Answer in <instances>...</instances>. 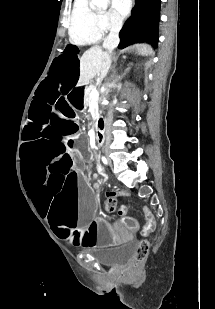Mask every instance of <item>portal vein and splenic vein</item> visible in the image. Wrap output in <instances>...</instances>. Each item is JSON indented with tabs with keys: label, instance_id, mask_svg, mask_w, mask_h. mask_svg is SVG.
I'll return each instance as SVG.
<instances>
[{
	"label": "portal vein and splenic vein",
	"instance_id": "obj_1",
	"mask_svg": "<svg viewBox=\"0 0 215 309\" xmlns=\"http://www.w3.org/2000/svg\"><path fill=\"white\" fill-rule=\"evenodd\" d=\"M90 96H99V94H98L96 88H93V90H91Z\"/></svg>",
	"mask_w": 215,
	"mask_h": 309
}]
</instances>
